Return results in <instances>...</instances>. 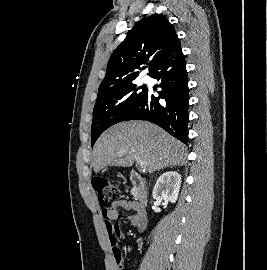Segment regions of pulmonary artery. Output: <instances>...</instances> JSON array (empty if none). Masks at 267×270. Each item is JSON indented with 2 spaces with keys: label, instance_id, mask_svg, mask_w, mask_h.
Here are the masks:
<instances>
[{
  "label": "pulmonary artery",
  "instance_id": "e3ab8cb5",
  "mask_svg": "<svg viewBox=\"0 0 267 270\" xmlns=\"http://www.w3.org/2000/svg\"><path fill=\"white\" fill-rule=\"evenodd\" d=\"M142 81L145 82V83H147V82L150 81V78H149L148 76H144V77L142 78Z\"/></svg>",
  "mask_w": 267,
  "mask_h": 270
}]
</instances>
